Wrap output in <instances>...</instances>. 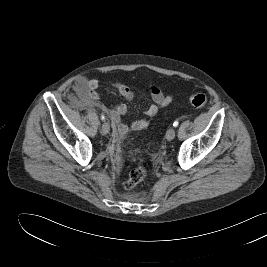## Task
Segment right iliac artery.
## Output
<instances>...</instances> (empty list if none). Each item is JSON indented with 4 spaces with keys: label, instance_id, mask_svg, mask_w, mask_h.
I'll use <instances>...</instances> for the list:
<instances>
[{
    "label": "right iliac artery",
    "instance_id": "1",
    "mask_svg": "<svg viewBox=\"0 0 267 267\" xmlns=\"http://www.w3.org/2000/svg\"><path fill=\"white\" fill-rule=\"evenodd\" d=\"M101 120H105V116L103 114L101 115Z\"/></svg>",
    "mask_w": 267,
    "mask_h": 267
}]
</instances>
